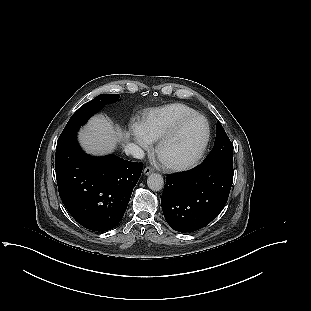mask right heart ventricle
<instances>
[{"label": "right heart ventricle", "mask_w": 311, "mask_h": 311, "mask_svg": "<svg viewBox=\"0 0 311 311\" xmlns=\"http://www.w3.org/2000/svg\"><path fill=\"white\" fill-rule=\"evenodd\" d=\"M196 111L181 103L168 104L147 111L143 117L141 128L150 141H158L179 120Z\"/></svg>", "instance_id": "1"}]
</instances>
